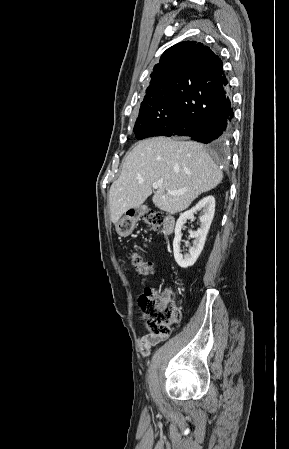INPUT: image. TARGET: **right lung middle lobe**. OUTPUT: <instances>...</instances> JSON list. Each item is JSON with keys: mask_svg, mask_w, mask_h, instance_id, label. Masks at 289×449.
Listing matches in <instances>:
<instances>
[{"mask_svg": "<svg viewBox=\"0 0 289 449\" xmlns=\"http://www.w3.org/2000/svg\"><path fill=\"white\" fill-rule=\"evenodd\" d=\"M177 116V103L173 92H163L144 97L134 126L138 140L152 137L164 124L172 122Z\"/></svg>", "mask_w": 289, "mask_h": 449, "instance_id": "obj_1", "label": "right lung middle lobe"}]
</instances>
